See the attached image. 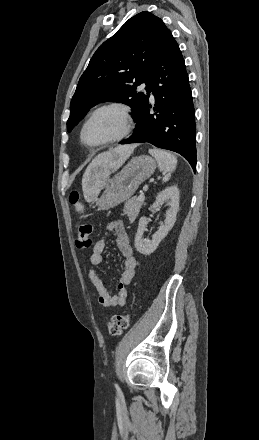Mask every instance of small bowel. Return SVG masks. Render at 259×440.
I'll list each match as a JSON object with an SVG mask.
<instances>
[{
    "label": "small bowel",
    "mask_w": 259,
    "mask_h": 440,
    "mask_svg": "<svg viewBox=\"0 0 259 440\" xmlns=\"http://www.w3.org/2000/svg\"><path fill=\"white\" fill-rule=\"evenodd\" d=\"M108 230L115 235L116 246L123 256L122 272L117 286V294L111 295L103 280L95 270V267L103 261L105 250V241L100 239L96 241L90 255L91 267L88 270V277L98 292V302L107 308L124 306L128 299L127 287L132 283L135 277L137 260L130 244L129 236L121 220H113L108 224Z\"/></svg>",
    "instance_id": "obj_1"
}]
</instances>
